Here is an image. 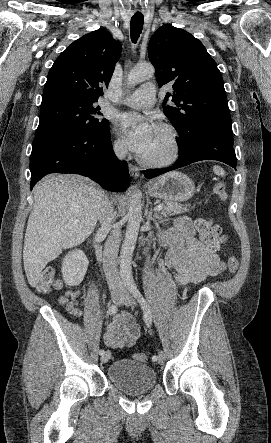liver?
Segmentation results:
<instances>
[{
  "mask_svg": "<svg viewBox=\"0 0 271 443\" xmlns=\"http://www.w3.org/2000/svg\"><path fill=\"white\" fill-rule=\"evenodd\" d=\"M33 194L23 261L26 277L36 287L48 261L56 259L62 249L80 245L94 231L105 194L94 182L76 174L46 176Z\"/></svg>",
  "mask_w": 271,
  "mask_h": 443,
  "instance_id": "obj_1",
  "label": "liver"
}]
</instances>
